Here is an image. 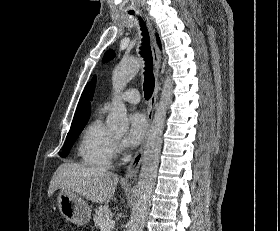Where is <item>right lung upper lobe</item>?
Returning <instances> with one entry per match:
<instances>
[{
    "label": "right lung upper lobe",
    "instance_id": "right-lung-upper-lobe-1",
    "mask_svg": "<svg viewBox=\"0 0 280 231\" xmlns=\"http://www.w3.org/2000/svg\"><path fill=\"white\" fill-rule=\"evenodd\" d=\"M90 116V103L88 100V84L86 85L80 101L78 103L76 113L71 124V128L82 126L87 123Z\"/></svg>",
    "mask_w": 280,
    "mask_h": 231
}]
</instances>
